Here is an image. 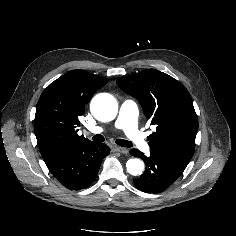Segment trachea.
Here are the masks:
<instances>
[{
    "label": "trachea",
    "mask_w": 236,
    "mask_h": 236,
    "mask_svg": "<svg viewBox=\"0 0 236 236\" xmlns=\"http://www.w3.org/2000/svg\"><path fill=\"white\" fill-rule=\"evenodd\" d=\"M92 140L97 141V142H103V141H105V138L102 135L97 134L92 137ZM115 142L117 145H119L121 147H132L133 146V144L130 141H127L124 139H117Z\"/></svg>",
    "instance_id": "1"
}]
</instances>
